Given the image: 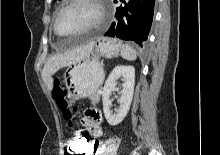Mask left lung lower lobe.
<instances>
[{"label":"left lung lower lobe","instance_id":"1","mask_svg":"<svg viewBox=\"0 0 220 155\" xmlns=\"http://www.w3.org/2000/svg\"><path fill=\"white\" fill-rule=\"evenodd\" d=\"M116 9L117 21L113 22L105 36L133 41L139 47L145 46L152 20L155 0H120ZM117 3V0H114Z\"/></svg>","mask_w":220,"mask_h":155}]
</instances>
